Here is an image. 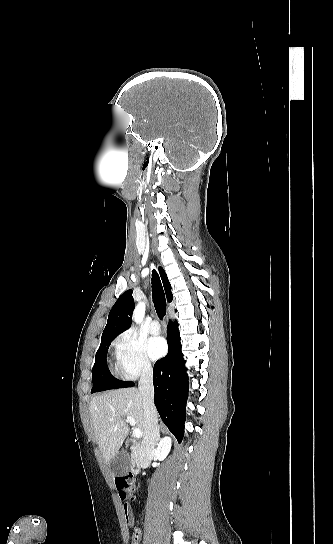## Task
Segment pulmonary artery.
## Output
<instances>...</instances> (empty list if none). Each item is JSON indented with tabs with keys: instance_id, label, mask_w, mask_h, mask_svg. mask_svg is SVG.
<instances>
[{
	"instance_id": "e3ab8cb5",
	"label": "pulmonary artery",
	"mask_w": 333,
	"mask_h": 544,
	"mask_svg": "<svg viewBox=\"0 0 333 544\" xmlns=\"http://www.w3.org/2000/svg\"><path fill=\"white\" fill-rule=\"evenodd\" d=\"M150 333L153 335H157L160 333V324L157 320H152L150 322L149 326Z\"/></svg>"
}]
</instances>
